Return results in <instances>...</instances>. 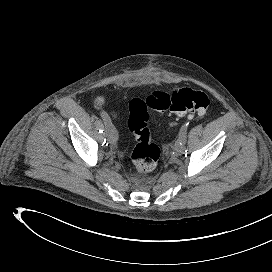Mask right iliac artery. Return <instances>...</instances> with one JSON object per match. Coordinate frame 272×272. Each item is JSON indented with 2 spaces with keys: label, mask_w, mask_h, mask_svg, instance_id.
Returning <instances> with one entry per match:
<instances>
[{
  "label": "right iliac artery",
  "mask_w": 272,
  "mask_h": 272,
  "mask_svg": "<svg viewBox=\"0 0 272 272\" xmlns=\"http://www.w3.org/2000/svg\"><path fill=\"white\" fill-rule=\"evenodd\" d=\"M100 115H101V117H102V119L104 120V123H105V125H106V122H107L108 120H110L108 114H107L105 111L102 110V111H100Z\"/></svg>",
  "instance_id": "82829eb1"
}]
</instances>
